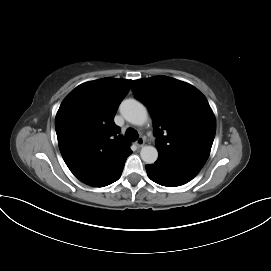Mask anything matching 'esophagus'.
<instances>
[{
  "label": "esophagus",
  "mask_w": 271,
  "mask_h": 271,
  "mask_svg": "<svg viewBox=\"0 0 271 271\" xmlns=\"http://www.w3.org/2000/svg\"><path fill=\"white\" fill-rule=\"evenodd\" d=\"M144 144H145V139H144L143 137H140V138L137 139L136 145H137L138 147H143Z\"/></svg>",
  "instance_id": "esophagus-1"
}]
</instances>
